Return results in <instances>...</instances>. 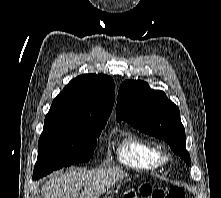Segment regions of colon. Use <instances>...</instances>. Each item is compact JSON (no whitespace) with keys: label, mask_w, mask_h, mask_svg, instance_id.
Segmentation results:
<instances>
[{"label":"colon","mask_w":221,"mask_h":198,"mask_svg":"<svg viewBox=\"0 0 221 198\" xmlns=\"http://www.w3.org/2000/svg\"><path fill=\"white\" fill-rule=\"evenodd\" d=\"M123 198H185V193L179 187L153 188L145 183L137 191L125 193Z\"/></svg>","instance_id":"1"}]
</instances>
